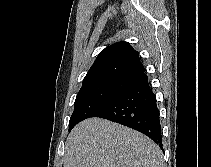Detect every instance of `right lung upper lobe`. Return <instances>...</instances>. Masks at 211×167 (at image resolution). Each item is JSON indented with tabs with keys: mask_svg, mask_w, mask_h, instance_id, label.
Instances as JSON below:
<instances>
[{
	"mask_svg": "<svg viewBox=\"0 0 211 167\" xmlns=\"http://www.w3.org/2000/svg\"><path fill=\"white\" fill-rule=\"evenodd\" d=\"M144 71L139 53L128 42H118L99 53L83 84L109 78L132 79Z\"/></svg>",
	"mask_w": 211,
	"mask_h": 167,
	"instance_id": "cb5924a9",
	"label": "right lung upper lobe"
}]
</instances>
